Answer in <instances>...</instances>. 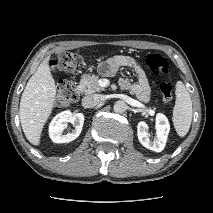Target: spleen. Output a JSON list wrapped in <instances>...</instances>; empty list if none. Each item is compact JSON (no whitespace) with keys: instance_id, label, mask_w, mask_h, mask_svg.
<instances>
[{"instance_id":"obj_1","label":"spleen","mask_w":213,"mask_h":213,"mask_svg":"<svg viewBox=\"0 0 213 213\" xmlns=\"http://www.w3.org/2000/svg\"><path fill=\"white\" fill-rule=\"evenodd\" d=\"M176 103L173 109V124L177 134L184 137L191 126L192 121V101L185 85L178 81L176 83Z\"/></svg>"}]
</instances>
